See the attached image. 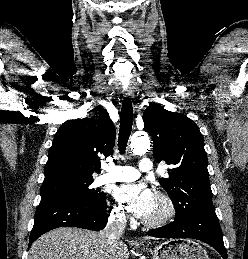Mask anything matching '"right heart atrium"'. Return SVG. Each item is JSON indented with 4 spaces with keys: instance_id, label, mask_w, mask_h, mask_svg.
Returning a JSON list of instances; mask_svg holds the SVG:
<instances>
[{
    "instance_id": "1",
    "label": "right heart atrium",
    "mask_w": 248,
    "mask_h": 259,
    "mask_svg": "<svg viewBox=\"0 0 248 259\" xmlns=\"http://www.w3.org/2000/svg\"><path fill=\"white\" fill-rule=\"evenodd\" d=\"M111 216L118 222H124L126 220V212L122 205H116L111 211Z\"/></svg>"
}]
</instances>
